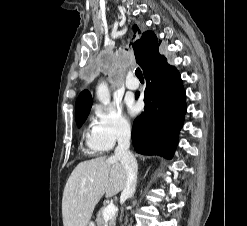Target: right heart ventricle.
Here are the masks:
<instances>
[{
	"label": "right heart ventricle",
	"mask_w": 247,
	"mask_h": 226,
	"mask_svg": "<svg viewBox=\"0 0 247 226\" xmlns=\"http://www.w3.org/2000/svg\"><path fill=\"white\" fill-rule=\"evenodd\" d=\"M86 145H87V152L91 155H97L104 151L100 147H97L90 142L89 134L86 136Z\"/></svg>",
	"instance_id": "obj_1"
}]
</instances>
